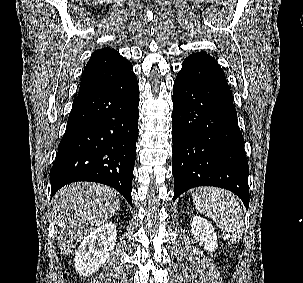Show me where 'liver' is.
Returning a JSON list of instances; mask_svg holds the SVG:
<instances>
[{
  "label": "liver",
  "mask_w": 303,
  "mask_h": 283,
  "mask_svg": "<svg viewBox=\"0 0 303 283\" xmlns=\"http://www.w3.org/2000/svg\"><path fill=\"white\" fill-rule=\"evenodd\" d=\"M118 192L90 182L74 183L60 189L52 200V215L60 251L73 252L79 242L116 215Z\"/></svg>",
  "instance_id": "1"
}]
</instances>
